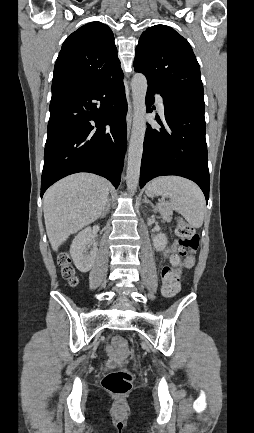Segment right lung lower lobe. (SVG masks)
Segmentation results:
<instances>
[{
  "mask_svg": "<svg viewBox=\"0 0 254 433\" xmlns=\"http://www.w3.org/2000/svg\"><path fill=\"white\" fill-rule=\"evenodd\" d=\"M126 112L123 77L52 91L41 197L53 183L77 172L103 176L117 188L127 146Z\"/></svg>",
  "mask_w": 254,
  "mask_h": 433,
  "instance_id": "obj_1",
  "label": "right lung lower lobe"
}]
</instances>
